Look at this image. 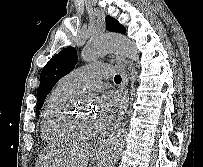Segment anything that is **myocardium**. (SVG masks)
Masks as SVG:
<instances>
[{"instance_id":"1","label":"myocardium","mask_w":203,"mask_h":167,"mask_svg":"<svg viewBox=\"0 0 203 167\" xmlns=\"http://www.w3.org/2000/svg\"><path fill=\"white\" fill-rule=\"evenodd\" d=\"M64 130L75 140H85L96 134L95 129H84L76 116L75 111L70 108L62 121Z\"/></svg>"}]
</instances>
